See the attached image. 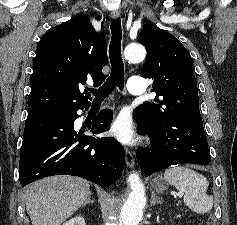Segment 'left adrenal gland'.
<instances>
[{
  "label": "left adrenal gland",
  "instance_id": "obj_1",
  "mask_svg": "<svg viewBox=\"0 0 237 225\" xmlns=\"http://www.w3.org/2000/svg\"><path fill=\"white\" fill-rule=\"evenodd\" d=\"M161 203H162L161 200L157 199L156 195L152 193L151 200H150L151 206H154L155 204H161Z\"/></svg>",
  "mask_w": 237,
  "mask_h": 225
}]
</instances>
